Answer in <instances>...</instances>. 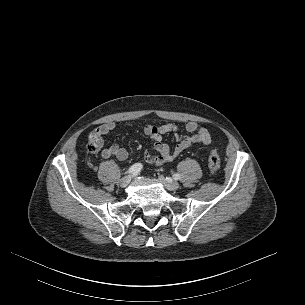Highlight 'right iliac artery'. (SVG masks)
Masks as SVG:
<instances>
[{
  "mask_svg": "<svg viewBox=\"0 0 305 305\" xmlns=\"http://www.w3.org/2000/svg\"><path fill=\"white\" fill-rule=\"evenodd\" d=\"M142 167L141 163H136L129 168L127 173L137 175L141 171Z\"/></svg>",
  "mask_w": 305,
  "mask_h": 305,
  "instance_id": "82829eb1",
  "label": "right iliac artery"
}]
</instances>
